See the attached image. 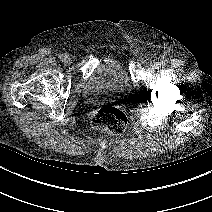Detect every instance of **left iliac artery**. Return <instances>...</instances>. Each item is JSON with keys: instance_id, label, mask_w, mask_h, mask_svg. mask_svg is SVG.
Here are the masks:
<instances>
[{"instance_id": "obj_1", "label": "left iliac artery", "mask_w": 212, "mask_h": 212, "mask_svg": "<svg viewBox=\"0 0 212 212\" xmlns=\"http://www.w3.org/2000/svg\"><path fill=\"white\" fill-rule=\"evenodd\" d=\"M156 66H157V67H160V66H161V63L158 62V63L156 64Z\"/></svg>"}]
</instances>
